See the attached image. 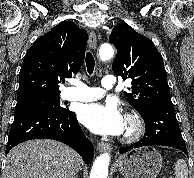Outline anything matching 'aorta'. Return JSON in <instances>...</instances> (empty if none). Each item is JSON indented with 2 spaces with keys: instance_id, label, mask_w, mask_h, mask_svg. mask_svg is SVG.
Segmentation results:
<instances>
[{
  "instance_id": "762f6f07",
  "label": "aorta",
  "mask_w": 194,
  "mask_h": 178,
  "mask_svg": "<svg viewBox=\"0 0 194 178\" xmlns=\"http://www.w3.org/2000/svg\"><path fill=\"white\" fill-rule=\"evenodd\" d=\"M114 55V49L110 44H103L99 49V56L102 61L109 60ZM110 156L108 153L101 154L93 163L90 178H107Z\"/></svg>"
}]
</instances>
